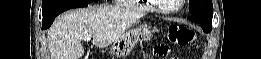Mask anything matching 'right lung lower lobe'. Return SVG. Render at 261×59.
<instances>
[{
  "mask_svg": "<svg viewBox=\"0 0 261 59\" xmlns=\"http://www.w3.org/2000/svg\"><path fill=\"white\" fill-rule=\"evenodd\" d=\"M88 6L85 2H73L66 5L61 6L57 10L48 13L47 15L43 16L42 20V29H47L51 26V24L54 22L55 18L62 12L72 9V8H79V7H86Z\"/></svg>",
  "mask_w": 261,
  "mask_h": 59,
  "instance_id": "obj_1",
  "label": "right lung lower lobe"
}]
</instances>
